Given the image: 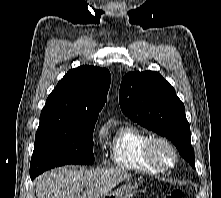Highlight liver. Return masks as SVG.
Listing matches in <instances>:
<instances>
[{
  "mask_svg": "<svg viewBox=\"0 0 221 198\" xmlns=\"http://www.w3.org/2000/svg\"><path fill=\"white\" fill-rule=\"evenodd\" d=\"M131 175L121 169H69L58 168L37 178L38 198H103L121 181ZM83 187L86 190L82 192Z\"/></svg>",
  "mask_w": 221,
  "mask_h": 198,
  "instance_id": "obj_1",
  "label": "liver"
}]
</instances>
